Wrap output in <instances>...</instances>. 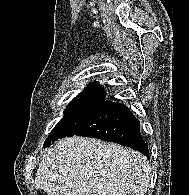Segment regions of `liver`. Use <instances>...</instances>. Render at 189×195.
<instances>
[{"label":"liver","mask_w":189,"mask_h":195,"mask_svg":"<svg viewBox=\"0 0 189 195\" xmlns=\"http://www.w3.org/2000/svg\"><path fill=\"white\" fill-rule=\"evenodd\" d=\"M150 176L141 153L74 136L59 140L42 156L34 184L48 195H143Z\"/></svg>","instance_id":"1"}]
</instances>
